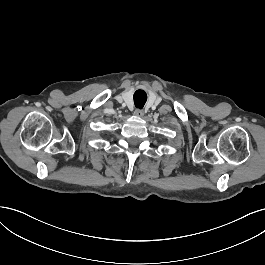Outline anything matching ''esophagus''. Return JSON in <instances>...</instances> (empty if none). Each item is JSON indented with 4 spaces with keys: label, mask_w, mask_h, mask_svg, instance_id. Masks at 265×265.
Returning <instances> with one entry per match:
<instances>
[{
    "label": "esophagus",
    "mask_w": 265,
    "mask_h": 265,
    "mask_svg": "<svg viewBox=\"0 0 265 265\" xmlns=\"http://www.w3.org/2000/svg\"><path fill=\"white\" fill-rule=\"evenodd\" d=\"M143 114H144V112H143L142 109H137V110L135 111V115H137V116H142Z\"/></svg>",
    "instance_id": "1"
}]
</instances>
